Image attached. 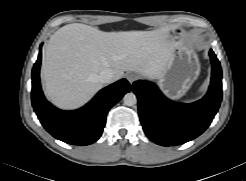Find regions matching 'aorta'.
Listing matches in <instances>:
<instances>
[{"label": "aorta", "mask_w": 246, "mask_h": 181, "mask_svg": "<svg viewBox=\"0 0 246 181\" xmlns=\"http://www.w3.org/2000/svg\"><path fill=\"white\" fill-rule=\"evenodd\" d=\"M123 101L126 106H134L137 103V97L133 92H129L125 94Z\"/></svg>", "instance_id": "1"}]
</instances>
